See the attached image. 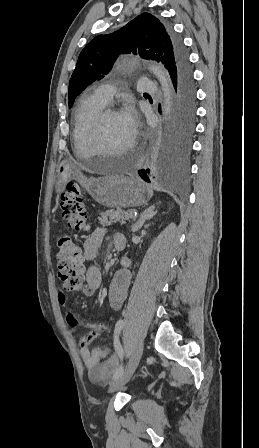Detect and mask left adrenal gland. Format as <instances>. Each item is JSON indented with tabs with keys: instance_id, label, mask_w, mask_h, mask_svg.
<instances>
[{
	"instance_id": "left-adrenal-gland-1",
	"label": "left adrenal gland",
	"mask_w": 259,
	"mask_h": 448,
	"mask_svg": "<svg viewBox=\"0 0 259 448\" xmlns=\"http://www.w3.org/2000/svg\"><path fill=\"white\" fill-rule=\"evenodd\" d=\"M155 206H150V208H147L145 212H142L138 222L134 224L132 230L133 232H137V230H140L142 228L143 224H145V220H150V218H153L155 216L156 212H153Z\"/></svg>"
}]
</instances>
